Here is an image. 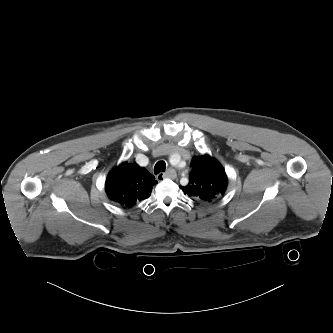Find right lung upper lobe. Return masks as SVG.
I'll list each match as a JSON object with an SVG mask.
<instances>
[{
	"label": "right lung upper lobe",
	"instance_id": "right-lung-upper-lobe-1",
	"mask_svg": "<svg viewBox=\"0 0 333 333\" xmlns=\"http://www.w3.org/2000/svg\"><path fill=\"white\" fill-rule=\"evenodd\" d=\"M156 183L155 177L145 168L123 162L108 174L105 190L110 200L130 208L148 198Z\"/></svg>",
	"mask_w": 333,
	"mask_h": 333
}]
</instances>
